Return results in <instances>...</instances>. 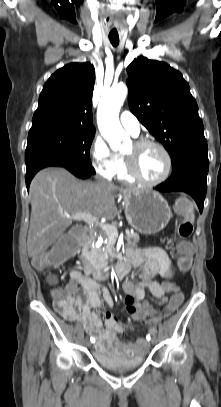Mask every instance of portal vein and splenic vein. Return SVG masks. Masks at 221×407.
Listing matches in <instances>:
<instances>
[{"label":"portal vein and splenic vein","instance_id":"obj_1","mask_svg":"<svg viewBox=\"0 0 221 407\" xmlns=\"http://www.w3.org/2000/svg\"><path fill=\"white\" fill-rule=\"evenodd\" d=\"M68 218L72 220H84L89 225L99 226L107 235L112 237L118 236V230L115 226L110 224H102L99 222V219L96 216H93L91 213H76L73 215H67Z\"/></svg>","mask_w":221,"mask_h":407}]
</instances>
